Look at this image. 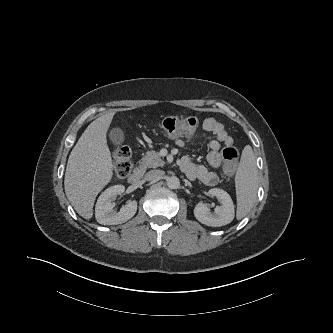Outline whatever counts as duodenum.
I'll use <instances>...</instances> for the list:
<instances>
[{
    "label": "duodenum",
    "instance_id": "410a0bca",
    "mask_svg": "<svg viewBox=\"0 0 333 333\" xmlns=\"http://www.w3.org/2000/svg\"><path fill=\"white\" fill-rule=\"evenodd\" d=\"M143 173H144V167H143V166H138V167L133 171V173L129 176V178H128V182H129L130 184H132V185L137 184V183L140 181V179H141Z\"/></svg>",
    "mask_w": 333,
    "mask_h": 333
}]
</instances>
